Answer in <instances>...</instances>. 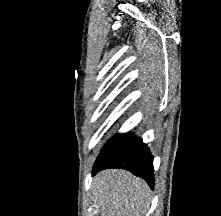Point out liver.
I'll list each match as a JSON object with an SVG mask.
<instances>
[{
	"label": "liver",
	"instance_id": "6515ba94",
	"mask_svg": "<svg viewBox=\"0 0 221 216\" xmlns=\"http://www.w3.org/2000/svg\"><path fill=\"white\" fill-rule=\"evenodd\" d=\"M92 187L102 216H145L149 209L147 183L128 171L104 170L94 178Z\"/></svg>",
	"mask_w": 221,
	"mask_h": 216
}]
</instances>
